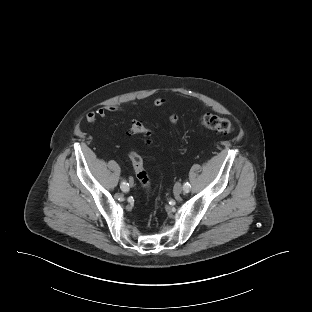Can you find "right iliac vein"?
<instances>
[{
  "label": "right iliac vein",
  "instance_id": "1",
  "mask_svg": "<svg viewBox=\"0 0 312 312\" xmlns=\"http://www.w3.org/2000/svg\"><path fill=\"white\" fill-rule=\"evenodd\" d=\"M129 183H130V185L133 184V180L131 178L129 179Z\"/></svg>",
  "mask_w": 312,
  "mask_h": 312
}]
</instances>
